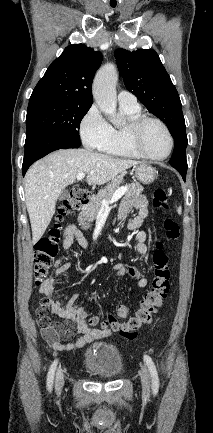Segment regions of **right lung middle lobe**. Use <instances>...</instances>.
<instances>
[{"label":"right lung middle lobe","instance_id":"dd1d6c3e","mask_svg":"<svg viewBox=\"0 0 213 433\" xmlns=\"http://www.w3.org/2000/svg\"><path fill=\"white\" fill-rule=\"evenodd\" d=\"M90 104L57 99H30L26 135L46 131L80 144V122Z\"/></svg>","mask_w":213,"mask_h":433}]
</instances>
